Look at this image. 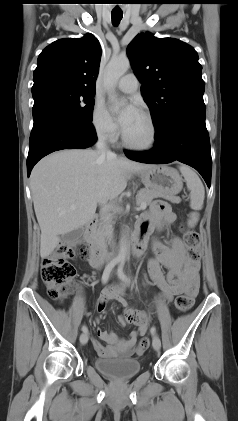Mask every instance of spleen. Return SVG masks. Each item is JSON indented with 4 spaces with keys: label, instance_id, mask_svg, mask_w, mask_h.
Here are the masks:
<instances>
[{
    "label": "spleen",
    "instance_id": "spleen-1",
    "mask_svg": "<svg viewBox=\"0 0 238 421\" xmlns=\"http://www.w3.org/2000/svg\"><path fill=\"white\" fill-rule=\"evenodd\" d=\"M179 170L190 191V207L195 211L190 214V219L188 220V225L193 227L199 220V214L196 211L203 208L205 189L198 175L190 167L180 165Z\"/></svg>",
    "mask_w": 238,
    "mask_h": 421
}]
</instances>
